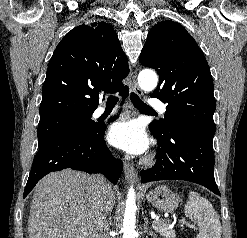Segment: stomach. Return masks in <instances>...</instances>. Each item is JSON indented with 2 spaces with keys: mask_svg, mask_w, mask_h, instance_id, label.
<instances>
[{
  "mask_svg": "<svg viewBox=\"0 0 247 238\" xmlns=\"http://www.w3.org/2000/svg\"><path fill=\"white\" fill-rule=\"evenodd\" d=\"M144 196L155 208L166 213L173 212L180 201L179 196L164 185L157 186Z\"/></svg>",
  "mask_w": 247,
  "mask_h": 238,
  "instance_id": "stomach-1",
  "label": "stomach"
}]
</instances>
